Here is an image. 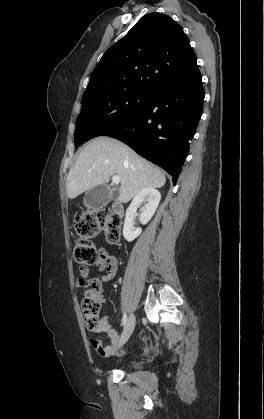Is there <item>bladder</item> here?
<instances>
[{"label": "bladder", "mask_w": 264, "mask_h": 419, "mask_svg": "<svg viewBox=\"0 0 264 419\" xmlns=\"http://www.w3.org/2000/svg\"><path fill=\"white\" fill-rule=\"evenodd\" d=\"M138 365H139V363H137V362H130V363L127 364V366L129 368H136V367H138Z\"/></svg>", "instance_id": "bladder-1"}]
</instances>
